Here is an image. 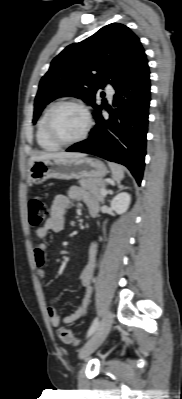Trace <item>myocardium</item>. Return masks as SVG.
Returning a JSON list of instances; mask_svg holds the SVG:
<instances>
[{
    "label": "myocardium",
    "mask_w": 182,
    "mask_h": 399,
    "mask_svg": "<svg viewBox=\"0 0 182 399\" xmlns=\"http://www.w3.org/2000/svg\"><path fill=\"white\" fill-rule=\"evenodd\" d=\"M64 106H75L79 109L82 110V112L85 115L86 118V127L84 129V131L82 132V134L80 136H78L77 138H74L72 140H62L60 139L56 133L54 132V128H53V118L55 113ZM93 117L92 114L89 110V108L81 101L78 100H63L60 101L56 104H54L52 106V108L50 109L48 115H47V119H46V132L48 137L55 142L56 144H58L59 146H69V145H73L79 142H82L83 140H85L89 133L92 130L93 127Z\"/></svg>",
    "instance_id": "f54148a6"
}]
</instances>
